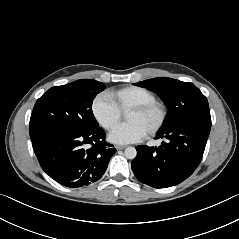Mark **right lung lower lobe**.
Returning <instances> with one entry per match:
<instances>
[{
  "mask_svg": "<svg viewBox=\"0 0 239 239\" xmlns=\"http://www.w3.org/2000/svg\"><path fill=\"white\" fill-rule=\"evenodd\" d=\"M101 127L86 131L48 130L35 138L33 149L44 170L58 183L75 188L99 180L105 173L113 145Z\"/></svg>",
  "mask_w": 239,
  "mask_h": 239,
  "instance_id": "right-lung-lower-lobe-1",
  "label": "right lung lower lobe"
}]
</instances>
